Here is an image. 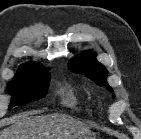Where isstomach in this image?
<instances>
[{"instance_id": "obj_1", "label": "stomach", "mask_w": 141, "mask_h": 139, "mask_svg": "<svg viewBox=\"0 0 141 139\" xmlns=\"http://www.w3.org/2000/svg\"><path fill=\"white\" fill-rule=\"evenodd\" d=\"M77 139H96V138L93 134L89 132L79 136Z\"/></svg>"}]
</instances>
